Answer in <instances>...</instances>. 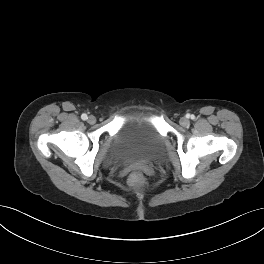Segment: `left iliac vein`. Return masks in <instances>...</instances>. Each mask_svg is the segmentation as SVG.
Returning <instances> with one entry per match:
<instances>
[{"instance_id": "4c4485c4", "label": "left iliac vein", "mask_w": 264, "mask_h": 264, "mask_svg": "<svg viewBox=\"0 0 264 264\" xmlns=\"http://www.w3.org/2000/svg\"><path fill=\"white\" fill-rule=\"evenodd\" d=\"M180 124L182 126H188L189 125V120L186 117H183L180 119Z\"/></svg>"}]
</instances>
